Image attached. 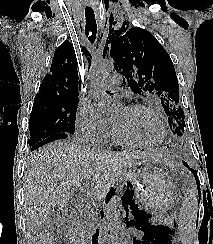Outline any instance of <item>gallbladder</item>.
Masks as SVG:
<instances>
[{
    "mask_svg": "<svg viewBox=\"0 0 213 244\" xmlns=\"http://www.w3.org/2000/svg\"><path fill=\"white\" fill-rule=\"evenodd\" d=\"M68 211L54 208L48 214L42 228L44 231L60 233L67 227Z\"/></svg>",
    "mask_w": 213,
    "mask_h": 244,
    "instance_id": "obj_1",
    "label": "gallbladder"
}]
</instances>
